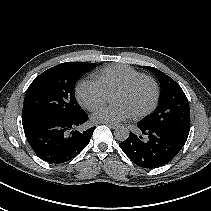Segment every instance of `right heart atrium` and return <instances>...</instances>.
Wrapping results in <instances>:
<instances>
[{
	"mask_svg": "<svg viewBox=\"0 0 211 211\" xmlns=\"http://www.w3.org/2000/svg\"><path fill=\"white\" fill-rule=\"evenodd\" d=\"M76 96L83 107L93 110L105 101L107 91L97 78L89 77L79 82Z\"/></svg>",
	"mask_w": 211,
	"mask_h": 211,
	"instance_id": "1",
	"label": "right heart atrium"
}]
</instances>
